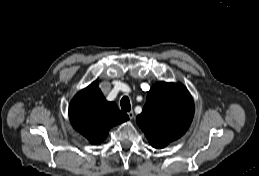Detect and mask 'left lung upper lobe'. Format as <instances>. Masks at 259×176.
Returning <instances> with one entry per match:
<instances>
[{
	"instance_id": "left-lung-upper-lobe-1",
	"label": "left lung upper lobe",
	"mask_w": 259,
	"mask_h": 176,
	"mask_svg": "<svg viewBox=\"0 0 259 176\" xmlns=\"http://www.w3.org/2000/svg\"><path fill=\"white\" fill-rule=\"evenodd\" d=\"M193 115V99L185 86L159 82L148 92L137 124L154 148H164L187 131Z\"/></svg>"
}]
</instances>
